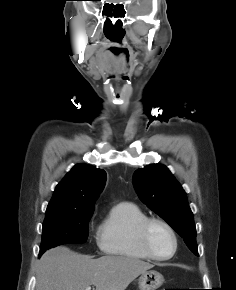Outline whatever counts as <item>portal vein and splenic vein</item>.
<instances>
[{
  "mask_svg": "<svg viewBox=\"0 0 236 290\" xmlns=\"http://www.w3.org/2000/svg\"><path fill=\"white\" fill-rule=\"evenodd\" d=\"M85 290H91V287H87Z\"/></svg>",
  "mask_w": 236,
  "mask_h": 290,
  "instance_id": "1",
  "label": "portal vein and splenic vein"
}]
</instances>
